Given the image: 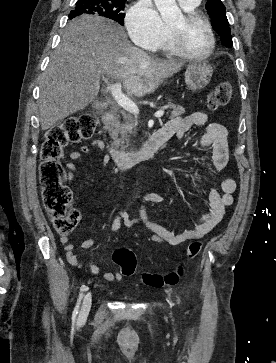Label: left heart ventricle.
Wrapping results in <instances>:
<instances>
[{
	"label": "left heart ventricle",
	"instance_id": "obj_1",
	"mask_svg": "<svg viewBox=\"0 0 276 363\" xmlns=\"http://www.w3.org/2000/svg\"><path fill=\"white\" fill-rule=\"evenodd\" d=\"M179 32L184 47L192 53H204L210 45L208 31L202 22L186 24L183 16L171 24Z\"/></svg>",
	"mask_w": 276,
	"mask_h": 363
}]
</instances>
